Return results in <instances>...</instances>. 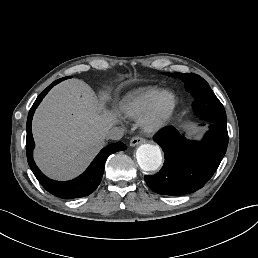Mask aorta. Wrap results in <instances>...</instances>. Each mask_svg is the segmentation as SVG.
Here are the masks:
<instances>
[{"instance_id":"762f6f07","label":"aorta","mask_w":258,"mask_h":258,"mask_svg":"<svg viewBox=\"0 0 258 258\" xmlns=\"http://www.w3.org/2000/svg\"><path fill=\"white\" fill-rule=\"evenodd\" d=\"M136 159L142 170H157L162 163L160 148L152 144H143L136 151Z\"/></svg>"}]
</instances>
